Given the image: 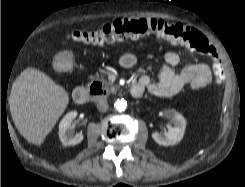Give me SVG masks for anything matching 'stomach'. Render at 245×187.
Wrapping results in <instances>:
<instances>
[{
	"label": "stomach",
	"mask_w": 245,
	"mask_h": 187,
	"mask_svg": "<svg viewBox=\"0 0 245 187\" xmlns=\"http://www.w3.org/2000/svg\"><path fill=\"white\" fill-rule=\"evenodd\" d=\"M73 64V54L68 50L57 53L52 60L53 68L60 72L70 70L73 67Z\"/></svg>",
	"instance_id": "0dacf381"
}]
</instances>
